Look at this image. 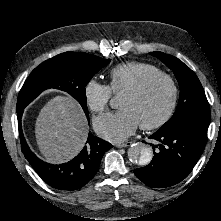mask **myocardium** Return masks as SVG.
<instances>
[{"label": "myocardium", "mask_w": 221, "mask_h": 221, "mask_svg": "<svg viewBox=\"0 0 221 221\" xmlns=\"http://www.w3.org/2000/svg\"><path fill=\"white\" fill-rule=\"evenodd\" d=\"M159 79L165 80L168 83L170 90H171L170 101H169L166 111L159 119H157L156 121L151 122V123L140 124V127L143 130H154V129L160 128L170 120V118L172 117V115L176 109L177 101H178L177 84H176L175 80L169 74H166L164 72H157V73H153L151 75L146 76L140 82H138L136 85H134L133 87H131L125 91V93H127V94H130L133 96H139L142 93H144L146 91V89L153 82H155L156 80H159Z\"/></svg>", "instance_id": "f54148a6"}]
</instances>
